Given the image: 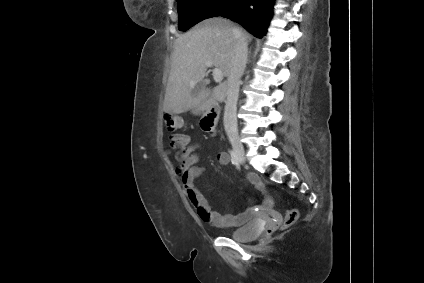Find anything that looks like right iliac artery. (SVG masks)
<instances>
[{
	"mask_svg": "<svg viewBox=\"0 0 424 283\" xmlns=\"http://www.w3.org/2000/svg\"><path fill=\"white\" fill-rule=\"evenodd\" d=\"M230 155H231L232 164L237 165L238 164V158H237V156H236V154L233 150H230Z\"/></svg>",
	"mask_w": 424,
	"mask_h": 283,
	"instance_id": "82829eb1",
	"label": "right iliac artery"
}]
</instances>
